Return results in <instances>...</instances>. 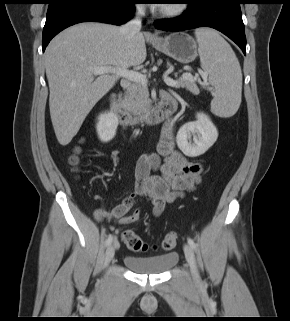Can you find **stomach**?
Here are the masks:
<instances>
[{
  "instance_id": "obj_1",
  "label": "stomach",
  "mask_w": 290,
  "mask_h": 321,
  "mask_svg": "<svg viewBox=\"0 0 290 321\" xmlns=\"http://www.w3.org/2000/svg\"><path fill=\"white\" fill-rule=\"evenodd\" d=\"M152 45L156 50L183 64L193 62L198 55L195 40L184 32H175L165 38L154 39Z\"/></svg>"
}]
</instances>
